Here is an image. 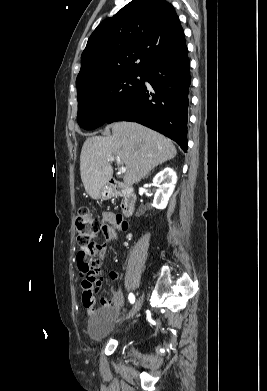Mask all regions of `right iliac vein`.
<instances>
[{
  "label": "right iliac vein",
  "mask_w": 267,
  "mask_h": 391,
  "mask_svg": "<svg viewBox=\"0 0 267 391\" xmlns=\"http://www.w3.org/2000/svg\"><path fill=\"white\" fill-rule=\"evenodd\" d=\"M143 300H144L143 295L136 300L131 312L129 313V315L127 317L128 319L133 318L135 316V314L140 310L142 303H143Z\"/></svg>",
  "instance_id": "63e3f726"
}]
</instances>
